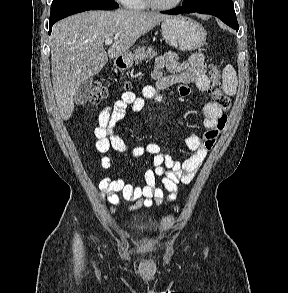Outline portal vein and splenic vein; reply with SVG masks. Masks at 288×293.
Instances as JSON below:
<instances>
[{
  "mask_svg": "<svg viewBox=\"0 0 288 293\" xmlns=\"http://www.w3.org/2000/svg\"><path fill=\"white\" fill-rule=\"evenodd\" d=\"M112 42H113V39H112V38H107V39L105 40V44H106V45H110V44H112Z\"/></svg>",
  "mask_w": 288,
  "mask_h": 293,
  "instance_id": "obj_1",
  "label": "portal vein and splenic vein"
}]
</instances>
